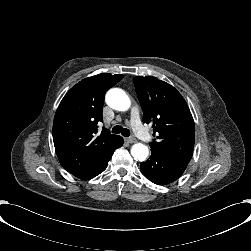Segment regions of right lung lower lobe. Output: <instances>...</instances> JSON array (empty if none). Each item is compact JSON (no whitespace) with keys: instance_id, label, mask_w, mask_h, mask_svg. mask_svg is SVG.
<instances>
[{"instance_id":"1","label":"right lung lower lobe","mask_w":251,"mask_h":251,"mask_svg":"<svg viewBox=\"0 0 251 251\" xmlns=\"http://www.w3.org/2000/svg\"><path fill=\"white\" fill-rule=\"evenodd\" d=\"M123 145V144H122ZM121 145V146H122ZM120 146V147H121ZM108 164V163H107ZM106 167H107V165H105V167L102 169V170H100L99 172H97L96 174H94L93 176H91L90 178H88V179H86V180H89V179H92V178H94L95 176H97V175H99L101 172H103L105 169H106Z\"/></svg>"}]
</instances>
